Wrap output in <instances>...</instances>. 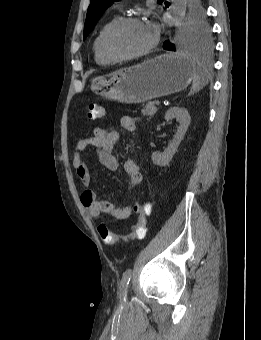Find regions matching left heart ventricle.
Listing matches in <instances>:
<instances>
[{
	"mask_svg": "<svg viewBox=\"0 0 261 340\" xmlns=\"http://www.w3.org/2000/svg\"><path fill=\"white\" fill-rule=\"evenodd\" d=\"M151 39V31L145 24L130 23L112 35L109 46L113 52L127 55L144 49Z\"/></svg>",
	"mask_w": 261,
	"mask_h": 340,
	"instance_id": "left-heart-ventricle-1",
	"label": "left heart ventricle"
}]
</instances>
